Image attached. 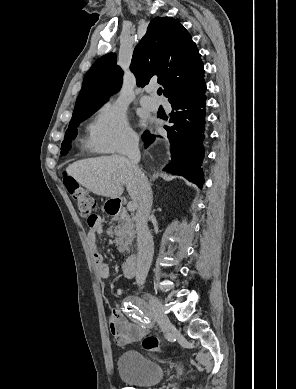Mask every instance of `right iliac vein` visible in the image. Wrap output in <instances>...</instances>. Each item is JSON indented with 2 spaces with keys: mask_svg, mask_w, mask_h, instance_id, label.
I'll list each match as a JSON object with an SVG mask.
<instances>
[{
  "mask_svg": "<svg viewBox=\"0 0 296 389\" xmlns=\"http://www.w3.org/2000/svg\"><path fill=\"white\" fill-rule=\"evenodd\" d=\"M148 303L149 314L153 316L154 320L160 325L162 330L167 333L171 328V322L164 313L161 301L154 296H150L148 297Z\"/></svg>",
  "mask_w": 296,
  "mask_h": 389,
  "instance_id": "right-iliac-vein-1",
  "label": "right iliac vein"
}]
</instances>
